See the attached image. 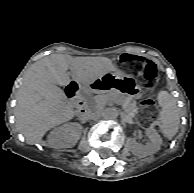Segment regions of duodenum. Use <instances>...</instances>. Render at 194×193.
Here are the masks:
<instances>
[{
    "mask_svg": "<svg viewBox=\"0 0 194 193\" xmlns=\"http://www.w3.org/2000/svg\"><path fill=\"white\" fill-rule=\"evenodd\" d=\"M67 95L72 98L76 111L79 114H84L86 111V101L82 95L79 94L78 88L75 83L69 84L67 87Z\"/></svg>",
    "mask_w": 194,
    "mask_h": 193,
    "instance_id": "obj_1",
    "label": "duodenum"
}]
</instances>
